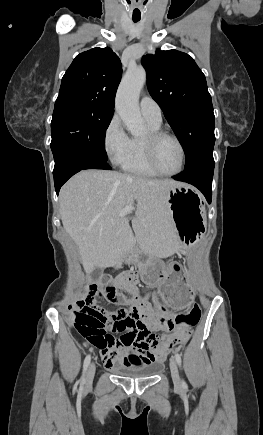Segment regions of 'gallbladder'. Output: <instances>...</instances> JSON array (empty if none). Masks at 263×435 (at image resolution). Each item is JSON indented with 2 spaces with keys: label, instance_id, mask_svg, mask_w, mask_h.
Segmentation results:
<instances>
[{
  "label": "gallbladder",
  "instance_id": "bac80fb5",
  "mask_svg": "<svg viewBox=\"0 0 263 435\" xmlns=\"http://www.w3.org/2000/svg\"><path fill=\"white\" fill-rule=\"evenodd\" d=\"M102 273H103V269H102V267H96V268L91 272V275H90L89 279H90L91 281H96V280H98V279L100 278V276L102 275Z\"/></svg>",
  "mask_w": 263,
  "mask_h": 435
}]
</instances>
